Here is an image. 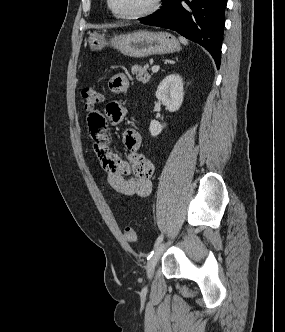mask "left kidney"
Listing matches in <instances>:
<instances>
[{
	"mask_svg": "<svg viewBox=\"0 0 285 332\" xmlns=\"http://www.w3.org/2000/svg\"><path fill=\"white\" fill-rule=\"evenodd\" d=\"M156 98L166 106L168 111L175 112L182 105L184 92L183 80L180 75L174 73L166 76L156 90ZM165 124H161L156 120L150 122L149 131L153 137L159 135Z\"/></svg>",
	"mask_w": 285,
	"mask_h": 332,
	"instance_id": "5707ae66",
	"label": "left kidney"
}]
</instances>
